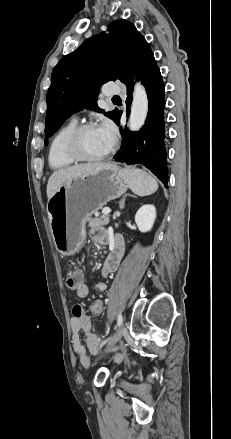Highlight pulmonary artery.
Segmentation results:
<instances>
[{
  "mask_svg": "<svg viewBox=\"0 0 231 439\" xmlns=\"http://www.w3.org/2000/svg\"><path fill=\"white\" fill-rule=\"evenodd\" d=\"M121 91V88L114 83H110L108 85H106L105 87V95H113V94H117Z\"/></svg>",
  "mask_w": 231,
  "mask_h": 439,
  "instance_id": "obj_1",
  "label": "pulmonary artery"
}]
</instances>
